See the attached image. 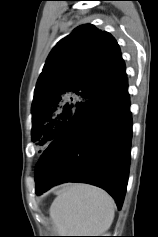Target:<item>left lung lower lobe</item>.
<instances>
[{
    "mask_svg": "<svg viewBox=\"0 0 158 237\" xmlns=\"http://www.w3.org/2000/svg\"><path fill=\"white\" fill-rule=\"evenodd\" d=\"M129 107L127 78L87 101L41 156L36 194L64 182L89 183L105 189L120 209L130 167Z\"/></svg>",
    "mask_w": 158,
    "mask_h": 237,
    "instance_id": "left-lung-lower-lobe-1",
    "label": "left lung lower lobe"
}]
</instances>
